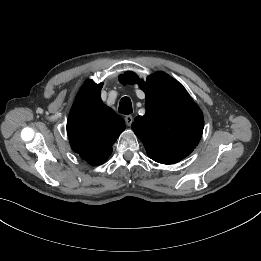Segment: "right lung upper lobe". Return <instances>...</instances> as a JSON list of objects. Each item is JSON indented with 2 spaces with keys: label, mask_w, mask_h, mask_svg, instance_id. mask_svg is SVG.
Returning a JSON list of instances; mask_svg holds the SVG:
<instances>
[{
  "label": "right lung upper lobe",
  "mask_w": 261,
  "mask_h": 261,
  "mask_svg": "<svg viewBox=\"0 0 261 261\" xmlns=\"http://www.w3.org/2000/svg\"><path fill=\"white\" fill-rule=\"evenodd\" d=\"M101 88L102 84L88 82L78 93L67 122L72 149L91 165L107 160L113 143L125 129L124 120L103 104Z\"/></svg>",
  "instance_id": "right-lung-upper-lobe-1"
}]
</instances>
